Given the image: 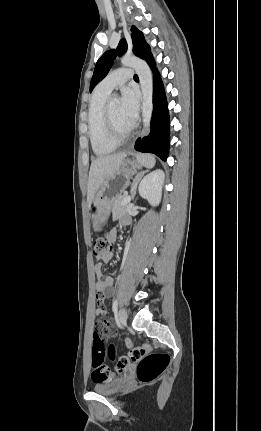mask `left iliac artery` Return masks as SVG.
I'll return each mask as SVG.
<instances>
[{
    "mask_svg": "<svg viewBox=\"0 0 261 431\" xmlns=\"http://www.w3.org/2000/svg\"><path fill=\"white\" fill-rule=\"evenodd\" d=\"M117 308H118V301H117V299H115L113 302L112 311L114 313L117 312Z\"/></svg>",
    "mask_w": 261,
    "mask_h": 431,
    "instance_id": "1",
    "label": "left iliac artery"
}]
</instances>
